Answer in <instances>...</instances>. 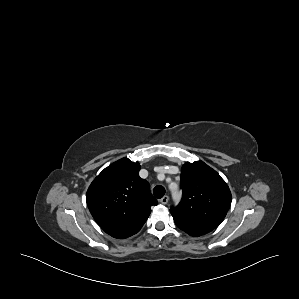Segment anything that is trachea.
<instances>
[{
    "instance_id": "3493384b",
    "label": "trachea",
    "mask_w": 299,
    "mask_h": 299,
    "mask_svg": "<svg viewBox=\"0 0 299 299\" xmlns=\"http://www.w3.org/2000/svg\"><path fill=\"white\" fill-rule=\"evenodd\" d=\"M153 193L156 198H162L165 194V188L161 185H157L155 186Z\"/></svg>"
}]
</instances>
